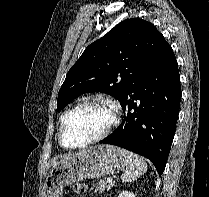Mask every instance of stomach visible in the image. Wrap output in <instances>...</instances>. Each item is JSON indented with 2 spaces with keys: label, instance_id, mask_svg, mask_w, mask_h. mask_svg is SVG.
Instances as JSON below:
<instances>
[{
  "label": "stomach",
  "instance_id": "obj_1",
  "mask_svg": "<svg viewBox=\"0 0 209 197\" xmlns=\"http://www.w3.org/2000/svg\"><path fill=\"white\" fill-rule=\"evenodd\" d=\"M121 149L112 145H97L54 166L46 181V197H62L65 186L85 178H101L124 169Z\"/></svg>",
  "mask_w": 209,
  "mask_h": 197
}]
</instances>
